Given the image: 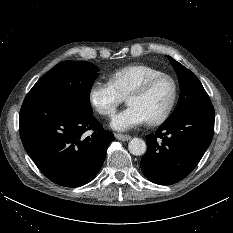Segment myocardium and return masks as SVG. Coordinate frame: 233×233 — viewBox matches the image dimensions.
Returning a JSON list of instances; mask_svg holds the SVG:
<instances>
[{"label": "myocardium", "instance_id": "myocardium-1", "mask_svg": "<svg viewBox=\"0 0 233 233\" xmlns=\"http://www.w3.org/2000/svg\"><path fill=\"white\" fill-rule=\"evenodd\" d=\"M163 79L170 81V83L172 85V97H171V100H170L168 106L166 107V109L164 110V112L160 116L147 121V123L149 125H152V126L160 125V124L164 123L170 117V115H171V113L176 105V102L178 99V84H177L175 78L169 74H166V73H161L158 75L151 76V77L145 79L143 82H141L135 88H133L129 92V94L127 95V102H128L130 97H132L134 95L145 94L147 91H149L151 89V87L154 84H156L158 81L163 80Z\"/></svg>", "mask_w": 233, "mask_h": 233}]
</instances>
